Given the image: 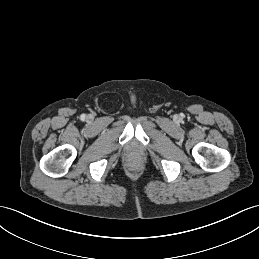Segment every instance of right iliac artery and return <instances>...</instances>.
I'll use <instances>...</instances> for the list:
<instances>
[{"mask_svg": "<svg viewBox=\"0 0 259 259\" xmlns=\"http://www.w3.org/2000/svg\"><path fill=\"white\" fill-rule=\"evenodd\" d=\"M81 119H82V120L85 119V114H82V115H81Z\"/></svg>", "mask_w": 259, "mask_h": 259, "instance_id": "82829eb1", "label": "right iliac artery"}]
</instances>
